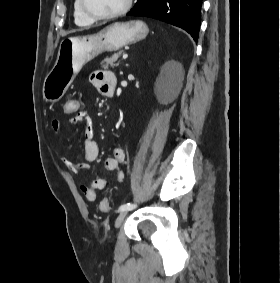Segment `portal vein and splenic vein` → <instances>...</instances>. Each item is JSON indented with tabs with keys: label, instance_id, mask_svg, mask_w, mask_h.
Listing matches in <instances>:
<instances>
[{
	"label": "portal vein and splenic vein",
	"instance_id": "1",
	"mask_svg": "<svg viewBox=\"0 0 280 283\" xmlns=\"http://www.w3.org/2000/svg\"><path fill=\"white\" fill-rule=\"evenodd\" d=\"M127 58H128V54H127V53H124L123 56H122V59L125 60V59H127Z\"/></svg>",
	"mask_w": 280,
	"mask_h": 283
}]
</instances>
